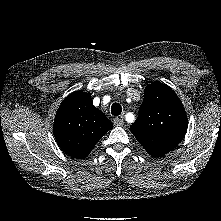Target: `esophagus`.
<instances>
[{
  "label": "esophagus",
  "instance_id": "obj_1",
  "mask_svg": "<svg viewBox=\"0 0 221 221\" xmlns=\"http://www.w3.org/2000/svg\"><path fill=\"white\" fill-rule=\"evenodd\" d=\"M114 125L115 126H123L124 125V120L122 118L116 117L114 119Z\"/></svg>",
  "mask_w": 221,
  "mask_h": 221
}]
</instances>
